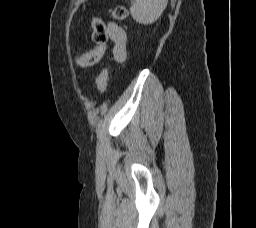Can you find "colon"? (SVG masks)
Listing matches in <instances>:
<instances>
[{
	"instance_id": "5ec220e1",
	"label": "colon",
	"mask_w": 256,
	"mask_h": 228,
	"mask_svg": "<svg viewBox=\"0 0 256 228\" xmlns=\"http://www.w3.org/2000/svg\"><path fill=\"white\" fill-rule=\"evenodd\" d=\"M128 15V10L124 5L117 6L112 12V18L115 21H122ZM107 27L102 19L93 17L92 19V39L96 44L95 48L77 58V64L81 67H87L99 62L104 53V44L107 41ZM111 69L105 68L97 77L96 84L101 94L105 93L109 84V75Z\"/></svg>"
}]
</instances>
